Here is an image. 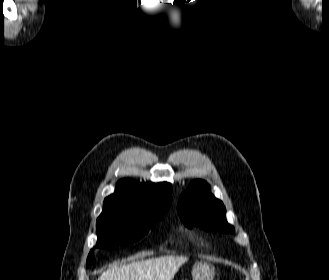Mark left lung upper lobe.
Wrapping results in <instances>:
<instances>
[{
    "label": "left lung upper lobe",
    "mask_w": 329,
    "mask_h": 280,
    "mask_svg": "<svg viewBox=\"0 0 329 280\" xmlns=\"http://www.w3.org/2000/svg\"><path fill=\"white\" fill-rule=\"evenodd\" d=\"M178 213L183 223L207 231L232 233L234 227L226 220L223 203L210 192L209 185L202 180H194L180 196Z\"/></svg>",
    "instance_id": "5c2ea615"
}]
</instances>
